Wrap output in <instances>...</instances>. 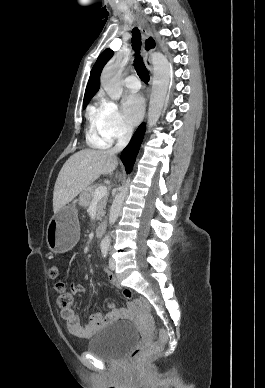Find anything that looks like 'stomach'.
Instances as JSON below:
<instances>
[{
    "label": "stomach",
    "instance_id": "0dacf381",
    "mask_svg": "<svg viewBox=\"0 0 265 388\" xmlns=\"http://www.w3.org/2000/svg\"><path fill=\"white\" fill-rule=\"evenodd\" d=\"M79 239V221L74 206H65L54 214L46 231V242L54 253L72 249Z\"/></svg>",
    "mask_w": 265,
    "mask_h": 388
}]
</instances>
